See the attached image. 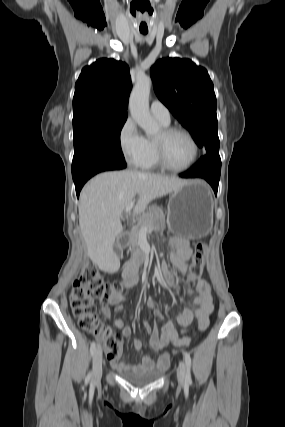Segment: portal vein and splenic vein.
Masks as SVG:
<instances>
[{
    "label": "portal vein and splenic vein",
    "mask_w": 285,
    "mask_h": 427,
    "mask_svg": "<svg viewBox=\"0 0 285 427\" xmlns=\"http://www.w3.org/2000/svg\"><path fill=\"white\" fill-rule=\"evenodd\" d=\"M133 206H134V200H133V201H131V202L126 206V208H125V212H126V213H129V212L131 211V209L133 208ZM146 230H147V228H146V227H143L142 231H146Z\"/></svg>",
    "instance_id": "obj_1"
}]
</instances>
